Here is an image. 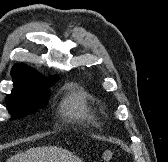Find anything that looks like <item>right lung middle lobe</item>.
Segmentation results:
<instances>
[{"label":"right lung middle lobe","instance_id":"obj_1","mask_svg":"<svg viewBox=\"0 0 168 162\" xmlns=\"http://www.w3.org/2000/svg\"><path fill=\"white\" fill-rule=\"evenodd\" d=\"M55 82L27 85L7 95L5 99L6 105L12 114V119L22 118L26 114L34 113L38 108L44 106L50 95L47 88Z\"/></svg>","mask_w":168,"mask_h":162}]
</instances>
